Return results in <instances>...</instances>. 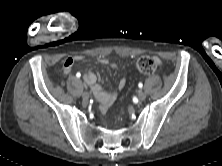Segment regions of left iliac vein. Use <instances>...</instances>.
Segmentation results:
<instances>
[{"instance_id":"obj_1","label":"left iliac vein","mask_w":222,"mask_h":166,"mask_svg":"<svg viewBox=\"0 0 222 166\" xmlns=\"http://www.w3.org/2000/svg\"><path fill=\"white\" fill-rule=\"evenodd\" d=\"M146 98V93L142 90L138 92V99L143 101Z\"/></svg>"}]
</instances>
